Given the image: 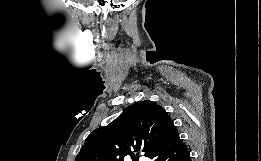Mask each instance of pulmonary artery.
<instances>
[{"mask_svg":"<svg viewBox=\"0 0 261 161\" xmlns=\"http://www.w3.org/2000/svg\"><path fill=\"white\" fill-rule=\"evenodd\" d=\"M139 161H150L147 157L141 156Z\"/></svg>","mask_w":261,"mask_h":161,"instance_id":"e3ab8cb5","label":"pulmonary artery"}]
</instances>
